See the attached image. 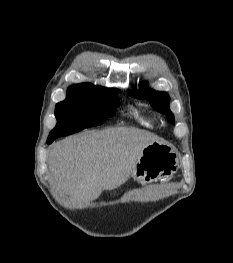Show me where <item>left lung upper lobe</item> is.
<instances>
[{
    "instance_id": "1",
    "label": "left lung upper lobe",
    "mask_w": 233,
    "mask_h": 263,
    "mask_svg": "<svg viewBox=\"0 0 233 263\" xmlns=\"http://www.w3.org/2000/svg\"><path fill=\"white\" fill-rule=\"evenodd\" d=\"M128 94L137 99H150V104L156 110L167 115L168 120L174 124V116L169 109V95L165 92L155 91L146 86L145 83L140 84L139 90L133 88Z\"/></svg>"
}]
</instances>
